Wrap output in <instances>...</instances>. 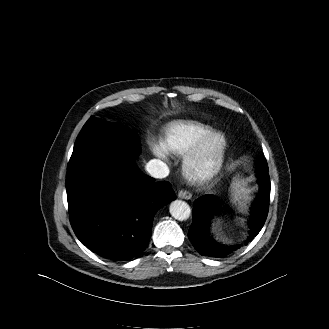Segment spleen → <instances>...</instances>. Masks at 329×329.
I'll return each mask as SVG.
<instances>
[{
    "label": "spleen",
    "mask_w": 329,
    "mask_h": 329,
    "mask_svg": "<svg viewBox=\"0 0 329 329\" xmlns=\"http://www.w3.org/2000/svg\"><path fill=\"white\" fill-rule=\"evenodd\" d=\"M231 201L240 208H245L250 199L251 189L244 179L234 178L230 187Z\"/></svg>",
    "instance_id": "3e777b00"
}]
</instances>
